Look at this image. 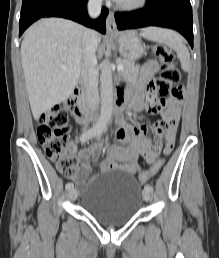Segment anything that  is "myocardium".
<instances>
[{
	"instance_id": "obj_1",
	"label": "myocardium",
	"mask_w": 219,
	"mask_h": 258,
	"mask_svg": "<svg viewBox=\"0 0 219 258\" xmlns=\"http://www.w3.org/2000/svg\"><path fill=\"white\" fill-rule=\"evenodd\" d=\"M147 1L148 0H133L128 2L120 1L117 5L121 10L124 11H136L143 8L146 5Z\"/></svg>"
}]
</instances>
